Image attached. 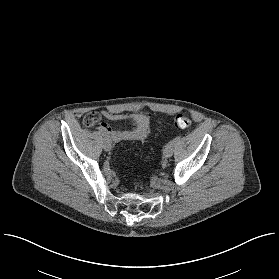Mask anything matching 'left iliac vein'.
Segmentation results:
<instances>
[{
  "mask_svg": "<svg viewBox=\"0 0 279 279\" xmlns=\"http://www.w3.org/2000/svg\"><path fill=\"white\" fill-rule=\"evenodd\" d=\"M173 155V146H168L163 150L164 158H170Z\"/></svg>",
  "mask_w": 279,
  "mask_h": 279,
  "instance_id": "left-iliac-vein-1",
  "label": "left iliac vein"
}]
</instances>
